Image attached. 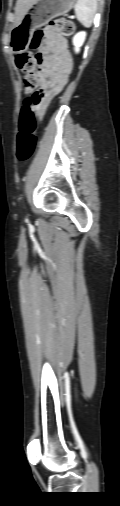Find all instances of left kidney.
<instances>
[{
	"label": "left kidney",
	"instance_id": "1",
	"mask_svg": "<svg viewBox=\"0 0 120 506\" xmlns=\"http://www.w3.org/2000/svg\"><path fill=\"white\" fill-rule=\"evenodd\" d=\"M86 38L85 32H79L73 37V45L75 47V52H79L80 47L83 45Z\"/></svg>",
	"mask_w": 120,
	"mask_h": 506
}]
</instances>
